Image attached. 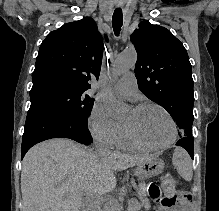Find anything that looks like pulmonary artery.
<instances>
[{"label":"pulmonary artery","mask_w":219,"mask_h":211,"mask_svg":"<svg viewBox=\"0 0 219 211\" xmlns=\"http://www.w3.org/2000/svg\"><path fill=\"white\" fill-rule=\"evenodd\" d=\"M116 90L125 96H131L138 90V84L133 72H126L118 80L116 84Z\"/></svg>","instance_id":"e3ab8cb5"}]
</instances>
